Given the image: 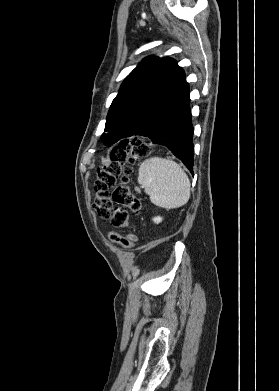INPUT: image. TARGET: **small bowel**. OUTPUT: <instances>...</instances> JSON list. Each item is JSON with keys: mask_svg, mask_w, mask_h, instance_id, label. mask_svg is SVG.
I'll return each instance as SVG.
<instances>
[{"mask_svg": "<svg viewBox=\"0 0 279 391\" xmlns=\"http://www.w3.org/2000/svg\"><path fill=\"white\" fill-rule=\"evenodd\" d=\"M127 238H129L130 240H132V241H134V240H136V236L135 235H128V236H126Z\"/></svg>", "mask_w": 279, "mask_h": 391, "instance_id": "c3829d8e", "label": "small bowel"}]
</instances>
